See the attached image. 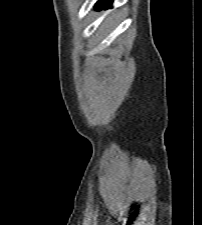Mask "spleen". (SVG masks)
Here are the masks:
<instances>
[{
    "mask_svg": "<svg viewBox=\"0 0 202 225\" xmlns=\"http://www.w3.org/2000/svg\"><path fill=\"white\" fill-rule=\"evenodd\" d=\"M111 19H112L111 17L107 18V19L105 20V23H109Z\"/></svg>",
    "mask_w": 202,
    "mask_h": 225,
    "instance_id": "1",
    "label": "spleen"
}]
</instances>
